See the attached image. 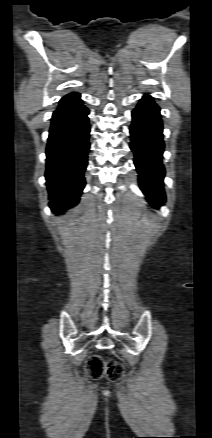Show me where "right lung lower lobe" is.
<instances>
[{"mask_svg": "<svg viewBox=\"0 0 212 438\" xmlns=\"http://www.w3.org/2000/svg\"><path fill=\"white\" fill-rule=\"evenodd\" d=\"M80 94L63 97L52 116L46 150V184L52 212L75 206L85 186L90 125Z\"/></svg>", "mask_w": 212, "mask_h": 438, "instance_id": "1", "label": "right lung lower lobe"}]
</instances>
